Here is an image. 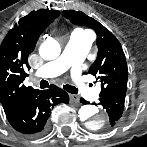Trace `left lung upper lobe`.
<instances>
[{"label": "left lung upper lobe", "instance_id": "left-lung-upper-lobe-1", "mask_svg": "<svg viewBox=\"0 0 147 147\" xmlns=\"http://www.w3.org/2000/svg\"><path fill=\"white\" fill-rule=\"evenodd\" d=\"M73 24L92 28L97 34L98 56L89 69L101 82L100 97L111 92L127 90L128 68L122 46L117 38L101 23L83 12L63 11Z\"/></svg>", "mask_w": 147, "mask_h": 147}]
</instances>
